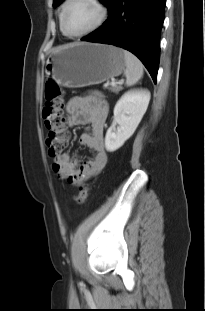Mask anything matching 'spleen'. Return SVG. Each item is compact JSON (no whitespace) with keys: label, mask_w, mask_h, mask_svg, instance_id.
I'll return each mask as SVG.
<instances>
[{"label":"spleen","mask_w":205,"mask_h":311,"mask_svg":"<svg viewBox=\"0 0 205 311\" xmlns=\"http://www.w3.org/2000/svg\"><path fill=\"white\" fill-rule=\"evenodd\" d=\"M124 57L126 63V70L124 72L126 85L132 86L142 78L143 65L140 60L129 51L124 50Z\"/></svg>","instance_id":"1"}]
</instances>
